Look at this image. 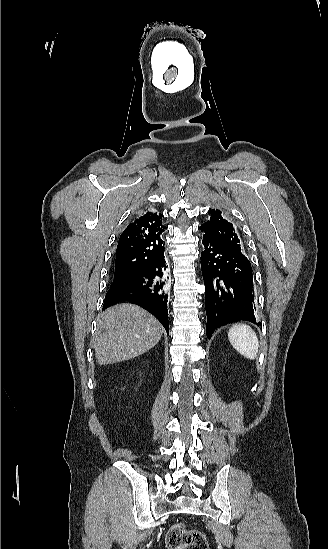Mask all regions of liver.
<instances>
[{
  "label": "liver",
  "mask_w": 328,
  "mask_h": 549,
  "mask_svg": "<svg viewBox=\"0 0 328 549\" xmlns=\"http://www.w3.org/2000/svg\"><path fill=\"white\" fill-rule=\"evenodd\" d=\"M162 325L145 309L120 303L103 311L94 335L98 365H112L143 355L159 343Z\"/></svg>",
  "instance_id": "6515ba94"
}]
</instances>
